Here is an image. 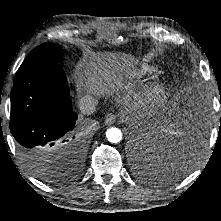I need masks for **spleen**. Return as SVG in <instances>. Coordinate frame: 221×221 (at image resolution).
Segmentation results:
<instances>
[{
	"label": "spleen",
	"instance_id": "3e777b00",
	"mask_svg": "<svg viewBox=\"0 0 221 221\" xmlns=\"http://www.w3.org/2000/svg\"><path fill=\"white\" fill-rule=\"evenodd\" d=\"M165 131L166 132H169V133H171V134H177V133H179L180 132V130H176V131H174V130H172V129H169V128H165Z\"/></svg>",
	"mask_w": 221,
	"mask_h": 221
}]
</instances>
